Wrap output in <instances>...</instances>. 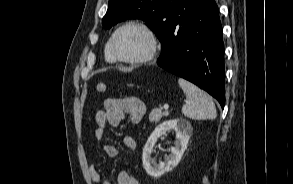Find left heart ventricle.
Instances as JSON below:
<instances>
[{
    "mask_svg": "<svg viewBox=\"0 0 293 184\" xmlns=\"http://www.w3.org/2000/svg\"><path fill=\"white\" fill-rule=\"evenodd\" d=\"M149 44L148 36L141 29L130 27L118 34L115 49L122 57L136 58L148 51Z\"/></svg>",
    "mask_w": 293,
    "mask_h": 184,
    "instance_id": "1",
    "label": "left heart ventricle"
}]
</instances>
